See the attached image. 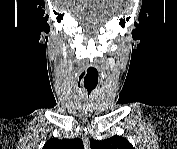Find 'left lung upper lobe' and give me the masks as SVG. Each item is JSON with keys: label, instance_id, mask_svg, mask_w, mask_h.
I'll return each instance as SVG.
<instances>
[{"label": "left lung upper lobe", "instance_id": "5c2ea615", "mask_svg": "<svg viewBox=\"0 0 177 149\" xmlns=\"http://www.w3.org/2000/svg\"><path fill=\"white\" fill-rule=\"evenodd\" d=\"M90 147L91 149H133L127 139L117 135L102 141L92 140Z\"/></svg>", "mask_w": 177, "mask_h": 149}]
</instances>
